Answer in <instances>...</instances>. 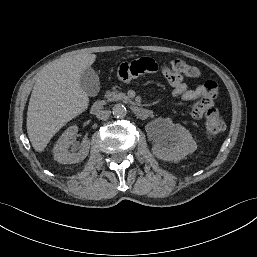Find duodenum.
Masks as SVG:
<instances>
[{
  "mask_svg": "<svg viewBox=\"0 0 257 257\" xmlns=\"http://www.w3.org/2000/svg\"><path fill=\"white\" fill-rule=\"evenodd\" d=\"M104 108V103L100 100L96 101L92 106V112L95 114L100 113ZM132 110L134 114L140 119H146L151 116V111L147 108L133 105Z\"/></svg>",
  "mask_w": 257,
  "mask_h": 257,
  "instance_id": "410a0bca",
  "label": "duodenum"
}]
</instances>
